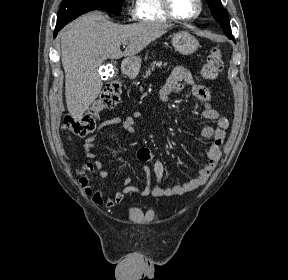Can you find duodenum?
Segmentation results:
<instances>
[{"label":"duodenum","mask_w":288,"mask_h":280,"mask_svg":"<svg viewBox=\"0 0 288 280\" xmlns=\"http://www.w3.org/2000/svg\"><path fill=\"white\" fill-rule=\"evenodd\" d=\"M135 70L128 61H124L122 64V73L125 77L130 78L133 76Z\"/></svg>","instance_id":"1"}]
</instances>
